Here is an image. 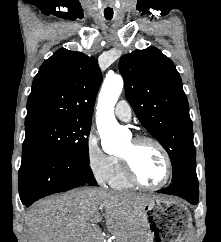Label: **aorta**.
I'll list each match as a JSON object with an SVG mask.
<instances>
[{
    "label": "aorta",
    "mask_w": 221,
    "mask_h": 242,
    "mask_svg": "<svg viewBox=\"0 0 221 242\" xmlns=\"http://www.w3.org/2000/svg\"><path fill=\"white\" fill-rule=\"evenodd\" d=\"M123 89V79L118 74L106 76L97 105V128L102 139L103 149L115 153L124 140V130L117 123L114 107Z\"/></svg>",
    "instance_id": "aorta-1"
}]
</instances>
